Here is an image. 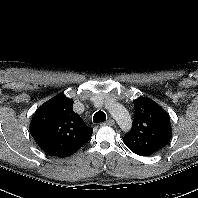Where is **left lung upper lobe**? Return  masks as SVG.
<instances>
[{"label": "left lung upper lobe", "instance_id": "1", "mask_svg": "<svg viewBox=\"0 0 198 198\" xmlns=\"http://www.w3.org/2000/svg\"><path fill=\"white\" fill-rule=\"evenodd\" d=\"M132 129L123 137L125 145L140 156H149L167 145L172 137L168 113L146 97L133 101Z\"/></svg>", "mask_w": 198, "mask_h": 198}]
</instances>
